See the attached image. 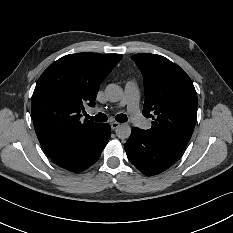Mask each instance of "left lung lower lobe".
<instances>
[{
	"label": "left lung lower lobe",
	"mask_w": 233,
	"mask_h": 233,
	"mask_svg": "<svg viewBox=\"0 0 233 233\" xmlns=\"http://www.w3.org/2000/svg\"><path fill=\"white\" fill-rule=\"evenodd\" d=\"M130 162L143 174L152 176L168 169L184 148L148 137L142 129L134 127L124 144Z\"/></svg>",
	"instance_id": "0a47b994"
}]
</instances>
